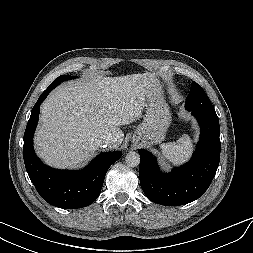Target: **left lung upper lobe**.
Wrapping results in <instances>:
<instances>
[{
	"label": "left lung upper lobe",
	"mask_w": 253,
	"mask_h": 253,
	"mask_svg": "<svg viewBox=\"0 0 253 253\" xmlns=\"http://www.w3.org/2000/svg\"><path fill=\"white\" fill-rule=\"evenodd\" d=\"M188 110H206L215 111L208 96L202 89V87L196 82H192L190 93L185 103Z\"/></svg>",
	"instance_id": "5c2ea615"
}]
</instances>
